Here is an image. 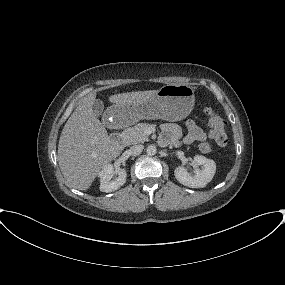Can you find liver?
Listing matches in <instances>:
<instances>
[{
  "label": "liver",
  "instance_id": "1",
  "mask_svg": "<svg viewBox=\"0 0 285 285\" xmlns=\"http://www.w3.org/2000/svg\"><path fill=\"white\" fill-rule=\"evenodd\" d=\"M157 90L111 95L109 101L119 105L140 103ZM96 94L80 100L67 120L58 144V162L67 182L78 190H87L101 168L120 155L123 147L111 139L92 110Z\"/></svg>",
  "mask_w": 285,
  "mask_h": 285
}]
</instances>
